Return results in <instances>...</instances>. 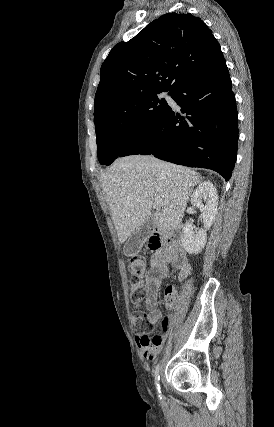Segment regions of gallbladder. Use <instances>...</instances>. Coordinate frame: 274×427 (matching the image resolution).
<instances>
[{"mask_svg": "<svg viewBox=\"0 0 274 427\" xmlns=\"http://www.w3.org/2000/svg\"><path fill=\"white\" fill-rule=\"evenodd\" d=\"M153 231V219L149 217L147 221H145L144 225H141L139 229H136L134 233H132L131 237H129L128 241H126L123 251L124 255H137L139 253L143 243H145L147 237L151 235Z\"/></svg>", "mask_w": 274, "mask_h": 427, "instance_id": "bac80fb5", "label": "gallbladder"}]
</instances>
